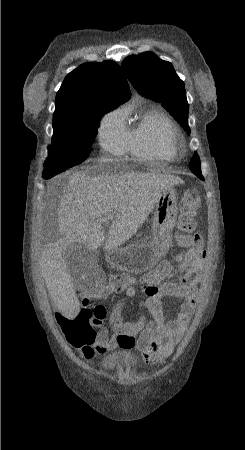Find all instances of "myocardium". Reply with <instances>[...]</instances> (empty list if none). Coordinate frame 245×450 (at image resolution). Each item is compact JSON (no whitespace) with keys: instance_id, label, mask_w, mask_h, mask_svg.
Returning a JSON list of instances; mask_svg holds the SVG:
<instances>
[{"instance_id":"f54148a6","label":"myocardium","mask_w":245,"mask_h":450,"mask_svg":"<svg viewBox=\"0 0 245 450\" xmlns=\"http://www.w3.org/2000/svg\"><path fill=\"white\" fill-rule=\"evenodd\" d=\"M166 128H167L168 136L170 137L171 141L173 143H175V145H176V132H175V129L173 128L172 124H170L169 122H167Z\"/></svg>"}]
</instances>
